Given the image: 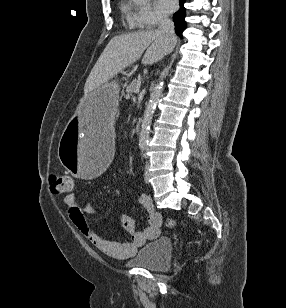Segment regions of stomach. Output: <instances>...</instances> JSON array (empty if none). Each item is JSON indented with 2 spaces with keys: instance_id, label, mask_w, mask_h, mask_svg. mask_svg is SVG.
Segmentation results:
<instances>
[{
  "instance_id": "0dacf381",
  "label": "stomach",
  "mask_w": 286,
  "mask_h": 308,
  "mask_svg": "<svg viewBox=\"0 0 286 308\" xmlns=\"http://www.w3.org/2000/svg\"><path fill=\"white\" fill-rule=\"evenodd\" d=\"M119 85L113 81L95 89L77 107V118H67V130L56 142L60 164L84 182H93L101 168H109L112 152V125L119 99Z\"/></svg>"
}]
</instances>
